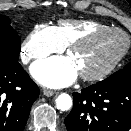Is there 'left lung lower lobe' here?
Wrapping results in <instances>:
<instances>
[{
	"mask_svg": "<svg viewBox=\"0 0 131 131\" xmlns=\"http://www.w3.org/2000/svg\"><path fill=\"white\" fill-rule=\"evenodd\" d=\"M65 125L68 131H128L131 85L98 82L73 93V109Z\"/></svg>",
	"mask_w": 131,
	"mask_h": 131,
	"instance_id": "left-lung-lower-lobe-1",
	"label": "left lung lower lobe"
}]
</instances>
